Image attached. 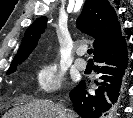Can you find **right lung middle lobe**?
Segmentation results:
<instances>
[{
	"label": "right lung middle lobe",
	"instance_id": "1",
	"mask_svg": "<svg viewBox=\"0 0 133 118\" xmlns=\"http://www.w3.org/2000/svg\"><path fill=\"white\" fill-rule=\"evenodd\" d=\"M16 67H17V64L14 65V66H12V67H10V68L8 69V71H7V74L13 73V72L16 70Z\"/></svg>",
	"mask_w": 133,
	"mask_h": 118
}]
</instances>
